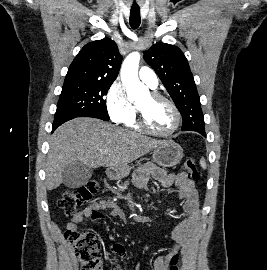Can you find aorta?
Segmentation results:
<instances>
[{"label":"aorta","mask_w":267,"mask_h":270,"mask_svg":"<svg viewBox=\"0 0 267 270\" xmlns=\"http://www.w3.org/2000/svg\"><path fill=\"white\" fill-rule=\"evenodd\" d=\"M139 61L140 53L132 52L126 57L121 67V80L130 101L148 94V88L138 78Z\"/></svg>","instance_id":"aorta-1"}]
</instances>
